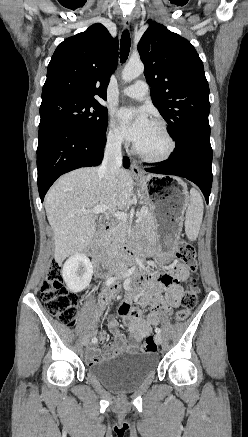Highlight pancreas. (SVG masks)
<instances>
[{
    "label": "pancreas",
    "instance_id": "pancreas-1",
    "mask_svg": "<svg viewBox=\"0 0 248 437\" xmlns=\"http://www.w3.org/2000/svg\"><path fill=\"white\" fill-rule=\"evenodd\" d=\"M141 225L149 236H153V227L155 219L152 211H149L143 216ZM128 233V226L120 224L117 226L115 232L109 236L105 241V248L109 254H114L118 246L126 241Z\"/></svg>",
    "mask_w": 248,
    "mask_h": 437
}]
</instances>
